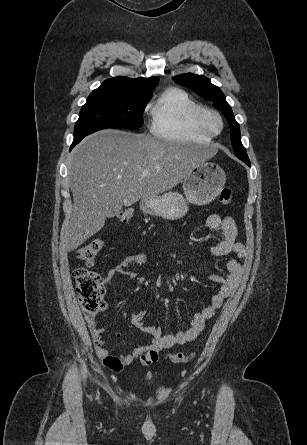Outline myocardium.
Masks as SVG:
<instances>
[{"label": "myocardium", "instance_id": "1", "mask_svg": "<svg viewBox=\"0 0 307 445\" xmlns=\"http://www.w3.org/2000/svg\"><path fill=\"white\" fill-rule=\"evenodd\" d=\"M216 122L221 124V129L219 131L216 130ZM204 125L209 135L218 136L223 133L225 129V120L219 112L210 110L204 115Z\"/></svg>", "mask_w": 307, "mask_h": 445}]
</instances>
